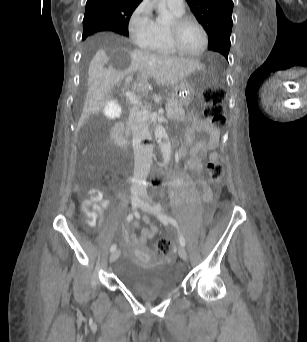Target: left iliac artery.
Wrapping results in <instances>:
<instances>
[{
	"label": "left iliac artery",
	"mask_w": 307,
	"mask_h": 342,
	"mask_svg": "<svg viewBox=\"0 0 307 342\" xmlns=\"http://www.w3.org/2000/svg\"><path fill=\"white\" fill-rule=\"evenodd\" d=\"M159 219L162 221V222H169L171 223L173 226H175L177 229H178V232H179V242L182 246H185V238L184 236L182 235V233L180 232L179 230V226H178V223L177 221L172 218V217H169L167 215H160L159 216Z\"/></svg>",
	"instance_id": "44dca946"
}]
</instances>
